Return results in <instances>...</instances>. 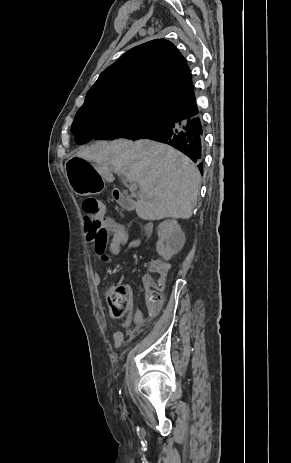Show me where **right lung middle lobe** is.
Returning <instances> with one entry per match:
<instances>
[{"label":"right lung middle lobe","instance_id":"dd1d6c3e","mask_svg":"<svg viewBox=\"0 0 291 463\" xmlns=\"http://www.w3.org/2000/svg\"><path fill=\"white\" fill-rule=\"evenodd\" d=\"M165 117L143 108L119 105L81 108L75 115L71 131L78 144L91 139L136 140L144 133L160 127Z\"/></svg>","mask_w":291,"mask_h":463}]
</instances>
